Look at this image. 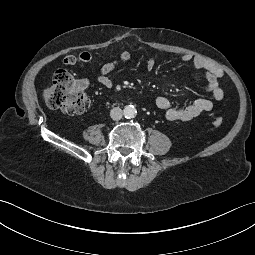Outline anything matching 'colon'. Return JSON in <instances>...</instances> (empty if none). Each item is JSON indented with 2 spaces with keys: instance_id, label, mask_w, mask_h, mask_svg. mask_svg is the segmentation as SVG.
Returning a JSON list of instances; mask_svg holds the SVG:
<instances>
[{
  "instance_id": "obj_1",
  "label": "colon",
  "mask_w": 255,
  "mask_h": 255,
  "mask_svg": "<svg viewBox=\"0 0 255 255\" xmlns=\"http://www.w3.org/2000/svg\"><path fill=\"white\" fill-rule=\"evenodd\" d=\"M45 104L68 115H82L86 111L87 96L81 83L65 70H57L52 78V84L43 93ZM215 126H221L220 117L213 120Z\"/></svg>"
}]
</instances>
